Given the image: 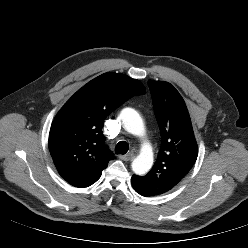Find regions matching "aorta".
<instances>
[{"label": "aorta", "mask_w": 248, "mask_h": 248, "mask_svg": "<svg viewBox=\"0 0 248 248\" xmlns=\"http://www.w3.org/2000/svg\"><path fill=\"white\" fill-rule=\"evenodd\" d=\"M120 118L124 129L135 135L144 136V123L139 113L132 108H125L121 111ZM153 165V151L148 142L142 145L140 154L132 162V170L138 175L146 174Z\"/></svg>", "instance_id": "1"}]
</instances>
